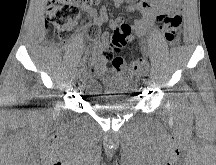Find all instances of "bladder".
Here are the masks:
<instances>
[{
  "instance_id": "bladder-1",
  "label": "bladder",
  "mask_w": 216,
  "mask_h": 165,
  "mask_svg": "<svg viewBox=\"0 0 216 165\" xmlns=\"http://www.w3.org/2000/svg\"><path fill=\"white\" fill-rule=\"evenodd\" d=\"M132 82L123 75L84 77L86 97L93 111H122L134 107L135 97L130 92Z\"/></svg>"
}]
</instances>
